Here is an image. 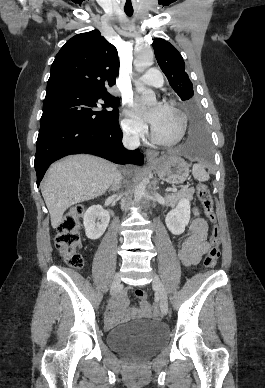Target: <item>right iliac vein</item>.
Here are the masks:
<instances>
[{"label":"right iliac vein","instance_id":"1","mask_svg":"<svg viewBox=\"0 0 265 388\" xmlns=\"http://www.w3.org/2000/svg\"><path fill=\"white\" fill-rule=\"evenodd\" d=\"M120 284H121V276L119 273H117L114 276L113 281H112V285H111V294L112 295L118 290V288L120 287Z\"/></svg>","mask_w":265,"mask_h":388}]
</instances>
